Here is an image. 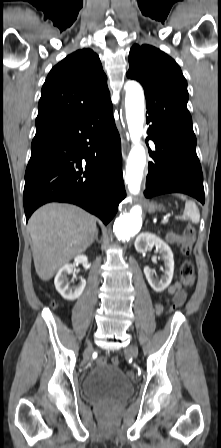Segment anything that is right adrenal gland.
Masks as SVG:
<instances>
[{"label":"right adrenal gland","mask_w":221,"mask_h":448,"mask_svg":"<svg viewBox=\"0 0 221 448\" xmlns=\"http://www.w3.org/2000/svg\"><path fill=\"white\" fill-rule=\"evenodd\" d=\"M95 241L99 243V239H98V230L96 231V234H95V237H94L92 243H94Z\"/></svg>","instance_id":"obj_1"}]
</instances>
